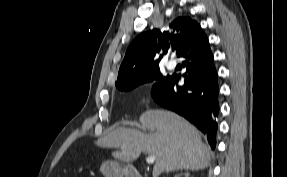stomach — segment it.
<instances>
[{"label":"stomach","instance_id":"0dacf381","mask_svg":"<svg viewBox=\"0 0 287 177\" xmlns=\"http://www.w3.org/2000/svg\"><path fill=\"white\" fill-rule=\"evenodd\" d=\"M100 170L105 177H129L132 168L115 161H106L101 165Z\"/></svg>","mask_w":287,"mask_h":177}]
</instances>
